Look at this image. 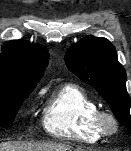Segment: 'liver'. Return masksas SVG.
I'll use <instances>...</instances> for the list:
<instances>
[{
  "instance_id": "6515ba94",
  "label": "liver",
  "mask_w": 131,
  "mask_h": 151,
  "mask_svg": "<svg viewBox=\"0 0 131 151\" xmlns=\"http://www.w3.org/2000/svg\"><path fill=\"white\" fill-rule=\"evenodd\" d=\"M70 149V146L61 143L5 142L0 144V151H70Z\"/></svg>"
}]
</instances>
